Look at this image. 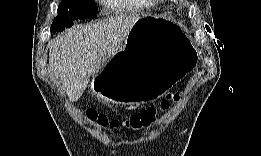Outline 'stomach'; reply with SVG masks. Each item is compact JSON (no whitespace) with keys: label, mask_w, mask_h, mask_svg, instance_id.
I'll list each match as a JSON object with an SVG mask.
<instances>
[{"label":"stomach","mask_w":261,"mask_h":156,"mask_svg":"<svg viewBox=\"0 0 261 156\" xmlns=\"http://www.w3.org/2000/svg\"><path fill=\"white\" fill-rule=\"evenodd\" d=\"M158 38L164 40L168 53L155 56L138 68L119 67L122 59ZM118 59V63L112 64L116 68L114 73L107 70L93 78L92 92L113 104L140 105L163 96L192 70L197 53L180 25L169 19L145 17L130 30L112 62Z\"/></svg>","instance_id":"1"}]
</instances>
